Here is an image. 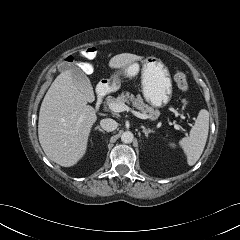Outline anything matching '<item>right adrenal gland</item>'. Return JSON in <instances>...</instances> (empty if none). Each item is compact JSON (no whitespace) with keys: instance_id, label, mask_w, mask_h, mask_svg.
Segmentation results:
<instances>
[{"instance_id":"1","label":"right adrenal gland","mask_w":240,"mask_h":240,"mask_svg":"<svg viewBox=\"0 0 240 240\" xmlns=\"http://www.w3.org/2000/svg\"><path fill=\"white\" fill-rule=\"evenodd\" d=\"M95 130H99L100 132L105 133V131L102 128H100V126H97Z\"/></svg>"}]
</instances>
